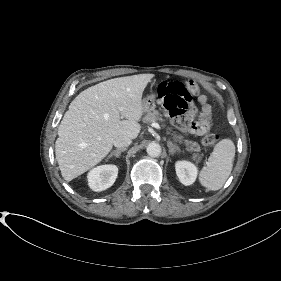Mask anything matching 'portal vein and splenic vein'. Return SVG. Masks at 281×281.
<instances>
[{"label": "portal vein and splenic vein", "mask_w": 281, "mask_h": 281, "mask_svg": "<svg viewBox=\"0 0 281 281\" xmlns=\"http://www.w3.org/2000/svg\"><path fill=\"white\" fill-rule=\"evenodd\" d=\"M152 127L156 128V129H161L160 125L157 122H153Z\"/></svg>", "instance_id": "1"}]
</instances>
